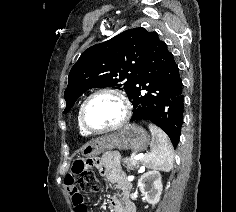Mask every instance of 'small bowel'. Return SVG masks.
Segmentation results:
<instances>
[{
    "instance_id": "small-bowel-1",
    "label": "small bowel",
    "mask_w": 236,
    "mask_h": 212,
    "mask_svg": "<svg viewBox=\"0 0 236 212\" xmlns=\"http://www.w3.org/2000/svg\"><path fill=\"white\" fill-rule=\"evenodd\" d=\"M100 165L103 174L107 176L116 187V193L110 199V206L113 212H136L134 203L128 199L130 183L120 167L119 162L114 159V155H104L100 160ZM76 180H78V175H76L73 169V173L67 175L65 185L70 194L75 212H86L83 195L75 186Z\"/></svg>"
}]
</instances>
